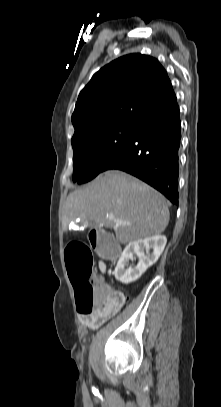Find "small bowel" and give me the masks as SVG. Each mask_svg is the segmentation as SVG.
Segmentation results:
<instances>
[{"label": "small bowel", "mask_w": 221, "mask_h": 407, "mask_svg": "<svg viewBox=\"0 0 221 407\" xmlns=\"http://www.w3.org/2000/svg\"><path fill=\"white\" fill-rule=\"evenodd\" d=\"M99 269L102 272L106 271V264H105L104 261L99 262ZM96 279L98 280V282L100 284H102L103 286L110 289V287L104 282L103 278L96 277ZM115 313H112V314H110V313H106V314L93 313L91 315L82 316L81 317V322L87 328H89L91 330H94V329L98 328L99 326H101L106 320H108Z\"/></svg>", "instance_id": "1"}]
</instances>
